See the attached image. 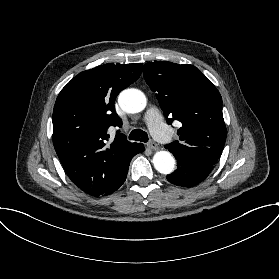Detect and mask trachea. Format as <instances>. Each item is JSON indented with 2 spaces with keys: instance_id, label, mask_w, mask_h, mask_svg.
<instances>
[{
  "instance_id": "3493384b",
  "label": "trachea",
  "mask_w": 279,
  "mask_h": 279,
  "mask_svg": "<svg viewBox=\"0 0 279 279\" xmlns=\"http://www.w3.org/2000/svg\"><path fill=\"white\" fill-rule=\"evenodd\" d=\"M129 140H136L141 142L148 141V134L141 129H134L128 136Z\"/></svg>"
}]
</instances>
